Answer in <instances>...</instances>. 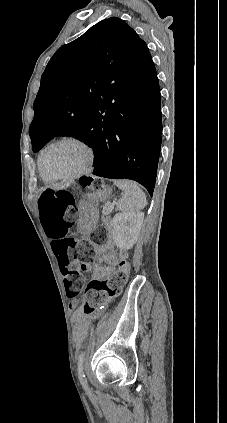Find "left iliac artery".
Instances as JSON below:
<instances>
[{
	"label": "left iliac artery",
	"instance_id": "obj_1",
	"mask_svg": "<svg viewBox=\"0 0 227 423\" xmlns=\"http://www.w3.org/2000/svg\"><path fill=\"white\" fill-rule=\"evenodd\" d=\"M84 352H81L78 356V367H77V372H78V378L82 384V386L86 389L87 388V383L85 381V375L83 372V361H84Z\"/></svg>",
	"mask_w": 227,
	"mask_h": 423
}]
</instances>
